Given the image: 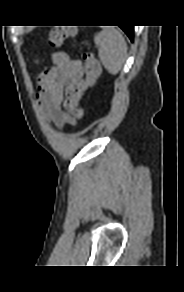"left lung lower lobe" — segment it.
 Wrapping results in <instances>:
<instances>
[{"label": "left lung lower lobe", "instance_id": "left-lung-lower-lobe-1", "mask_svg": "<svg viewBox=\"0 0 184 292\" xmlns=\"http://www.w3.org/2000/svg\"><path fill=\"white\" fill-rule=\"evenodd\" d=\"M124 32L128 35V37L130 38L131 41H133V36H134V28L133 26H120Z\"/></svg>", "mask_w": 184, "mask_h": 292}]
</instances>
